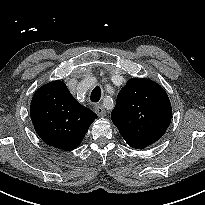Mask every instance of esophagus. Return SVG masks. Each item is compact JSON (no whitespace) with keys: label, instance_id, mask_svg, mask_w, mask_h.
Returning <instances> with one entry per match:
<instances>
[{"label":"esophagus","instance_id":"34e87169","mask_svg":"<svg viewBox=\"0 0 205 205\" xmlns=\"http://www.w3.org/2000/svg\"><path fill=\"white\" fill-rule=\"evenodd\" d=\"M95 112L99 116H102V117L106 115V111H105L104 106L102 104L95 105Z\"/></svg>","mask_w":205,"mask_h":205}]
</instances>
